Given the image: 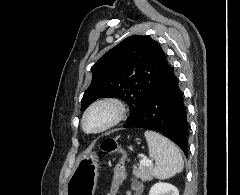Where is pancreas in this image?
<instances>
[{
  "label": "pancreas",
  "instance_id": "pancreas-1",
  "mask_svg": "<svg viewBox=\"0 0 240 195\" xmlns=\"http://www.w3.org/2000/svg\"><path fill=\"white\" fill-rule=\"evenodd\" d=\"M135 177H140L141 181H151L153 179V167H139V169H133Z\"/></svg>",
  "mask_w": 240,
  "mask_h": 195
}]
</instances>
